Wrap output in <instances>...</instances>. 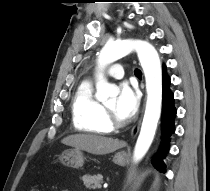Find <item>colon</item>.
Returning <instances> with one entry per match:
<instances>
[{
    "label": "colon",
    "instance_id": "colon-1",
    "mask_svg": "<svg viewBox=\"0 0 210 191\" xmlns=\"http://www.w3.org/2000/svg\"><path fill=\"white\" fill-rule=\"evenodd\" d=\"M30 191H41V190H39V189H31Z\"/></svg>",
    "mask_w": 210,
    "mask_h": 191
}]
</instances>
